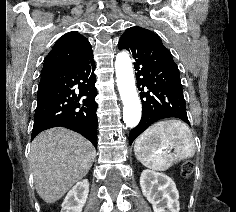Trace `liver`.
<instances>
[{
    "label": "liver",
    "instance_id": "1",
    "mask_svg": "<svg viewBox=\"0 0 236 212\" xmlns=\"http://www.w3.org/2000/svg\"><path fill=\"white\" fill-rule=\"evenodd\" d=\"M94 146L80 134L57 127L35 137L30 165L38 195L48 204L58 201L86 176L95 159Z\"/></svg>",
    "mask_w": 236,
    "mask_h": 212
}]
</instances>
